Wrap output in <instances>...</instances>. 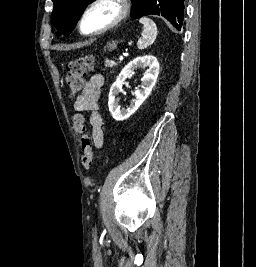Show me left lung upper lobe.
I'll return each mask as SVG.
<instances>
[{
	"instance_id": "left-lung-upper-lobe-1",
	"label": "left lung upper lobe",
	"mask_w": 256,
	"mask_h": 267,
	"mask_svg": "<svg viewBox=\"0 0 256 267\" xmlns=\"http://www.w3.org/2000/svg\"><path fill=\"white\" fill-rule=\"evenodd\" d=\"M52 22L60 34L68 35L76 26L86 6L94 0H52ZM132 16L161 15L175 24V0H133Z\"/></svg>"
}]
</instances>
